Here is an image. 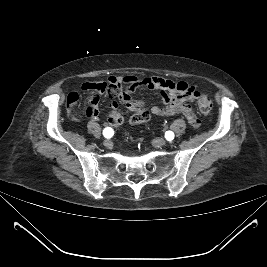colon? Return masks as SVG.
<instances>
[{
    "mask_svg": "<svg viewBox=\"0 0 267 267\" xmlns=\"http://www.w3.org/2000/svg\"><path fill=\"white\" fill-rule=\"evenodd\" d=\"M198 108L202 114H210L212 112L213 104L210 97L201 93L198 99ZM150 119V111L144 107H138L133 111L131 116V123L138 125ZM123 121L122 114L118 110H114L108 117V124L112 127L119 126Z\"/></svg>",
    "mask_w": 267,
    "mask_h": 267,
    "instance_id": "colon-1",
    "label": "colon"
}]
</instances>
